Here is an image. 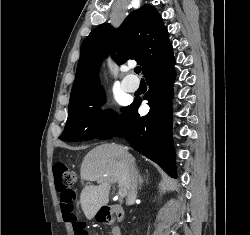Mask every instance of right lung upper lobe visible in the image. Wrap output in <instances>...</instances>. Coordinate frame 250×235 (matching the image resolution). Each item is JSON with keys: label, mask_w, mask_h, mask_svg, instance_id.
<instances>
[{"label": "right lung upper lobe", "mask_w": 250, "mask_h": 235, "mask_svg": "<svg viewBox=\"0 0 250 235\" xmlns=\"http://www.w3.org/2000/svg\"><path fill=\"white\" fill-rule=\"evenodd\" d=\"M169 45L168 32L161 16L148 4L130 13L118 29L107 23L99 25L82 43L70 102L101 88L98 70L108 54L118 65L129 59L136 60L145 73Z\"/></svg>", "instance_id": "right-lung-upper-lobe-1"}]
</instances>
